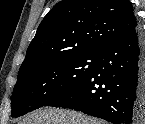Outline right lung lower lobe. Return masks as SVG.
I'll list each match as a JSON object with an SVG mask.
<instances>
[{"label": "right lung lower lobe", "mask_w": 145, "mask_h": 124, "mask_svg": "<svg viewBox=\"0 0 145 124\" xmlns=\"http://www.w3.org/2000/svg\"><path fill=\"white\" fill-rule=\"evenodd\" d=\"M46 106L74 109L113 124H135L145 109V42L139 27L106 45L89 74Z\"/></svg>", "instance_id": "right-lung-lower-lobe-1"}]
</instances>
